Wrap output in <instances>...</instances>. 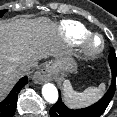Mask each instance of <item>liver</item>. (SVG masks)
I'll return each instance as SVG.
<instances>
[{
	"label": "liver",
	"instance_id": "obj_1",
	"mask_svg": "<svg viewBox=\"0 0 117 117\" xmlns=\"http://www.w3.org/2000/svg\"><path fill=\"white\" fill-rule=\"evenodd\" d=\"M56 24L48 18L0 21V101L23 76L22 65L67 54Z\"/></svg>",
	"mask_w": 117,
	"mask_h": 117
}]
</instances>
